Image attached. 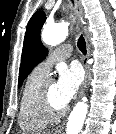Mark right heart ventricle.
<instances>
[{"instance_id": "obj_1", "label": "right heart ventricle", "mask_w": 116, "mask_h": 134, "mask_svg": "<svg viewBox=\"0 0 116 134\" xmlns=\"http://www.w3.org/2000/svg\"><path fill=\"white\" fill-rule=\"evenodd\" d=\"M46 74L35 68L27 77L20 95L18 123L22 130L38 132L49 126L52 118L42 113L36 104V94Z\"/></svg>"}]
</instances>
